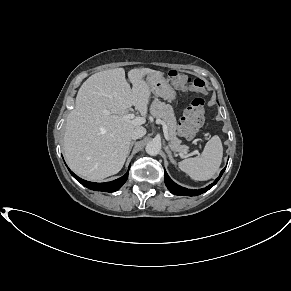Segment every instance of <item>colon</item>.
Masks as SVG:
<instances>
[{
  "mask_svg": "<svg viewBox=\"0 0 291 291\" xmlns=\"http://www.w3.org/2000/svg\"><path fill=\"white\" fill-rule=\"evenodd\" d=\"M169 76L174 83H191L193 86H198L199 80H191L187 75L178 71L171 70ZM204 100L195 98L190 109L185 113L182 119V128L187 134H192L193 131L203 122L204 118Z\"/></svg>",
  "mask_w": 291,
  "mask_h": 291,
  "instance_id": "1",
  "label": "colon"
}]
</instances>
